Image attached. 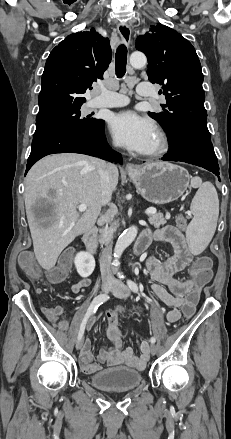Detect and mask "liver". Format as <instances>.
<instances>
[{
	"instance_id": "liver-1",
	"label": "liver",
	"mask_w": 231,
	"mask_h": 439,
	"mask_svg": "<svg viewBox=\"0 0 231 439\" xmlns=\"http://www.w3.org/2000/svg\"><path fill=\"white\" fill-rule=\"evenodd\" d=\"M101 162L87 155L60 153L42 158L29 170L24 192L26 215L34 253L43 269L51 270L60 253L95 225L105 205L99 176ZM109 174L113 192L119 177L115 165ZM39 201L50 209L40 210ZM80 204L87 205L82 215L77 211Z\"/></svg>"
}]
</instances>
